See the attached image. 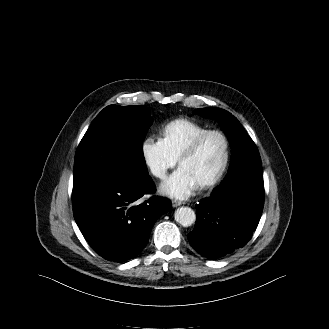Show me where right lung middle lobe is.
<instances>
[{
  "label": "right lung middle lobe",
  "mask_w": 329,
  "mask_h": 329,
  "mask_svg": "<svg viewBox=\"0 0 329 329\" xmlns=\"http://www.w3.org/2000/svg\"><path fill=\"white\" fill-rule=\"evenodd\" d=\"M152 124L144 106L109 105L82 138L74 161V182L111 176L138 184L149 176L142 142Z\"/></svg>",
  "instance_id": "right-lung-middle-lobe-1"
}]
</instances>
